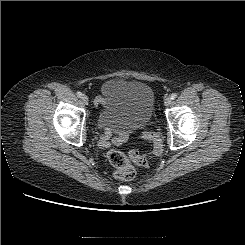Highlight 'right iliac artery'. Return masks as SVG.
I'll return each mask as SVG.
<instances>
[{
    "label": "right iliac artery",
    "mask_w": 245,
    "mask_h": 245,
    "mask_svg": "<svg viewBox=\"0 0 245 245\" xmlns=\"http://www.w3.org/2000/svg\"><path fill=\"white\" fill-rule=\"evenodd\" d=\"M77 96L78 97H82V93L79 91V92H77Z\"/></svg>",
    "instance_id": "1"
}]
</instances>
